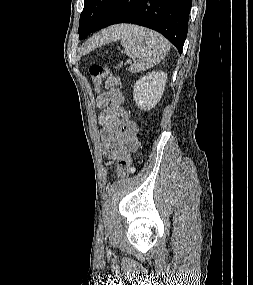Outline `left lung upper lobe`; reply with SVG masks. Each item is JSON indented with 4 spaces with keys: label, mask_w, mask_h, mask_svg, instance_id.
<instances>
[{
    "label": "left lung upper lobe",
    "mask_w": 253,
    "mask_h": 285,
    "mask_svg": "<svg viewBox=\"0 0 253 285\" xmlns=\"http://www.w3.org/2000/svg\"><path fill=\"white\" fill-rule=\"evenodd\" d=\"M112 0H84V9L80 16L79 37L85 38L92 32L106 13Z\"/></svg>",
    "instance_id": "left-lung-upper-lobe-1"
}]
</instances>
